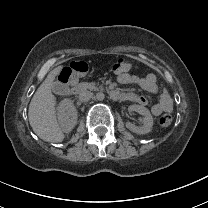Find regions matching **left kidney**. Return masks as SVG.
Instances as JSON below:
<instances>
[{
    "label": "left kidney",
    "mask_w": 208,
    "mask_h": 208,
    "mask_svg": "<svg viewBox=\"0 0 208 208\" xmlns=\"http://www.w3.org/2000/svg\"><path fill=\"white\" fill-rule=\"evenodd\" d=\"M128 110L135 111L143 116V126L137 127L134 124L128 122L125 125L128 130H130L133 133L140 134V135L147 134L152 130L153 117H152L150 111L146 107H144L142 105H135L134 104V105H129Z\"/></svg>",
    "instance_id": "5707ae66"
}]
</instances>
